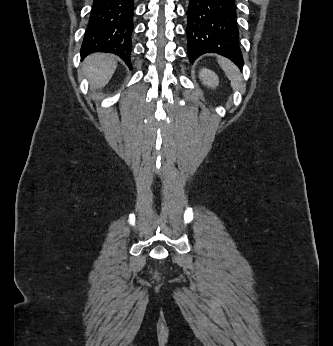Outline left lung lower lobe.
<instances>
[{
    "mask_svg": "<svg viewBox=\"0 0 333 346\" xmlns=\"http://www.w3.org/2000/svg\"><path fill=\"white\" fill-rule=\"evenodd\" d=\"M186 14L191 63L202 54L217 53L243 67L235 0H189Z\"/></svg>",
    "mask_w": 333,
    "mask_h": 346,
    "instance_id": "left-lung-lower-lobe-1",
    "label": "left lung lower lobe"
}]
</instances>
